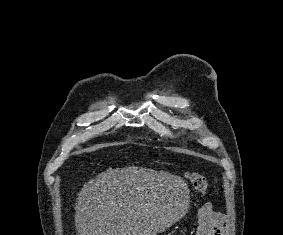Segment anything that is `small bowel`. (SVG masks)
Masks as SVG:
<instances>
[{
  "mask_svg": "<svg viewBox=\"0 0 283 235\" xmlns=\"http://www.w3.org/2000/svg\"><path fill=\"white\" fill-rule=\"evenodd\" d=\"M225 218L215 212L211 204H205L199 213V225L196 235H222Z\"/></svg>",
  "mask_w": 283,
  "mask_h": 235,
  "instance_id": "c3829d8e",
  "label": "small bowel"
}]
</instances>
